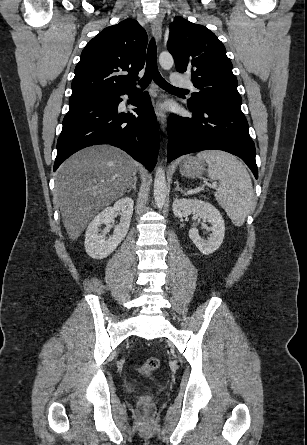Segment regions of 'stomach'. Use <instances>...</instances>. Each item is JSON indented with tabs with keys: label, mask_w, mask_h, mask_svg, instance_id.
<instances>
[{
	"label": "stomach",
	"mask_w": 307,
	"mask_h": 445,
	"mask_svg": "<svg viewBox=\"0 0 307 445\" xmlns=\"http://www.w3.org/2000/svg\"><path fill=\"white\" fill-rule=\"evenodd\" d=\"M206 164L204 160L200 158H195V156H189L186 158L185 162L180 166V172L183 176H188V178H200L202 176Z\"/></svg>",
	"instance_id": "1"
}]
</instances>
